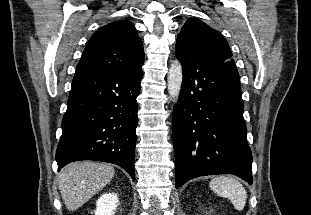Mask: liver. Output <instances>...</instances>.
Instances as JSON below:
<instances>
[{
	"label": "liver",
	"instance_id": "1",
	"mask_svg": "<svg viewBox=\"0 0 311 215\" xmlns=\"http://www.w3.org/2000/svg\"><path fill=\"white\" fill-rule=\"evenodd\" d=\"M109 164L82 161L74 162L59 174V190L68 210H77L103 189L114 177Z\"/></svg>",
	"mask_w": 311,
	"mask_h": 215
}]
</instances>
